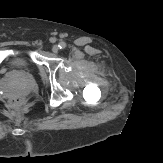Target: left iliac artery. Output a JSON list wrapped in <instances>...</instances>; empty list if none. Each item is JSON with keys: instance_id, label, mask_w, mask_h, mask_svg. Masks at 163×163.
<instances>
[{"instance_id": "left-iliac-artery-1", "label": "left iliac artery", "mask_w": 163, "mask_h": 163, "mask_svg": "<svg viewBox=\"0 0 163 163\" xmlns=\"http://www.w3.org/2000/svg\"><path fill=\"white\" fill-rule=\"evenodd\" d=\"M58 46H59L60 49H65L66 43L65 42H60Z\"/></svg>"}]
</instances>
